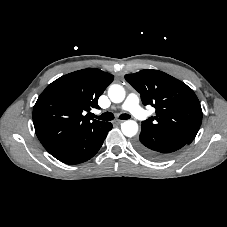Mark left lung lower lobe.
<instances>
[{
    "instance_id": "0a47b994",
    "label": "left lung lower lobe",
    "mask_w": 227,
    "mask_h": 227,
    "mask_svg": "<svg viewBox=\"0 0 227 227\" xmlns=\"http://www.w3.org/2000/svg\"><path fill=\"white\" fill-rule=\"evenodd\" d=\"M186 144L189 143L182 139L142 127L140 136L135 141L134 146L144 157L154 161H162Z\"/></svg>"
}]
</instances>
